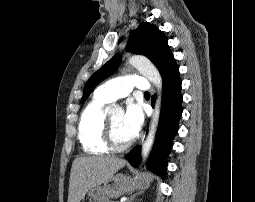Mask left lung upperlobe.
I'll return each mask as SVG.
<instances>
[{"instance_id": "left-lung-upper-lobe-1", "label": "left lung upper lobe", "mask_w": 255, "mask_h": 202, "mask_svg": "<svg viewBox=\"0 0 255 202\" xmlns=\"http://www.w3.org/2000/svg\"><path fill=\"white\" fill-rule=\"evenodd\" d=\"M127 50L149 58L158 68L162 76L163 86L179 73L177 63L168 46L167 38L155 25L140 23L139 27L130 34ZM120 62L121 56L115 55L96 71L85 85L82 100L87 99L96 85L113 74L118 69Z\"/></svg>"}]
</instances>
